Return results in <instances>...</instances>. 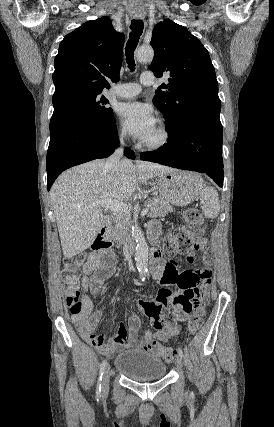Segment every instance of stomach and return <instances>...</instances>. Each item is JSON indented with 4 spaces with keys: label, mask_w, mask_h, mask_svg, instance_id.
Listing matches in <instances>:
<instances>
[{
    "label": "stomach",
    "mask_w": 274,
    "mask_h": 427,
    "mask_svg": "<svg viewBox=\"0 0 274 427\" xmlns=\"http://www.w3.org/2000/svg\"><path fill=\"white\" fill-rule=\"evenodd\" d=\"M198 180H200L198 174L170 170L159 174L155 184L160 186L161 194L169 204L187 206L196 196Z\"/></svg>",
    "instance_id": "obj_1"
}]
</instances>
